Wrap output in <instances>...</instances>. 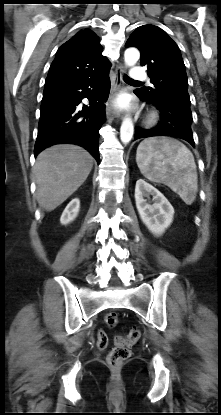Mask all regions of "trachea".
<instances>
[{
  "label": "trachea",
  "mask_w": 221,
  "mask_h": 415,
  "mask_svg": "<svg viewBox=\"0 0 221 415\" xmlns=\"http://www.w3.org/2000/svg\"><path fill=\"white\" fill-rule=\"evenodd\" d=\"M124 79H125V81H126V82H129V83H140V82H138V81H135V80L131 79V78H130V77H128L127 75L124 77Z\"/></svg>",
  "instance_id": "trachea-1"
}]
</instances>
